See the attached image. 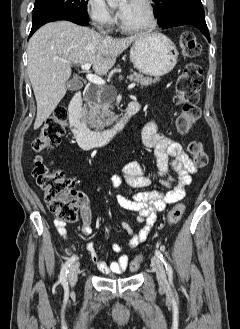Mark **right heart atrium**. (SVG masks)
Returning <instances> with one entry per match:
<instances>
[{
  "mask_svg": "<svg viewBox=\"0 0 240 329\" xmlns=\"http://www.w3.org/2000/svg\"><path fill=\"white\" fill-rule=\"evenodd\" d=\"M87 13L91 21L99 28H110L115 18L104 0H87Z\"/></svg>",
  "mask_w": 240,
  "mask_h": 329,
  "instance_id": "d8ad5b80",
  "label": "right heart atrium"
}]
</instances>
